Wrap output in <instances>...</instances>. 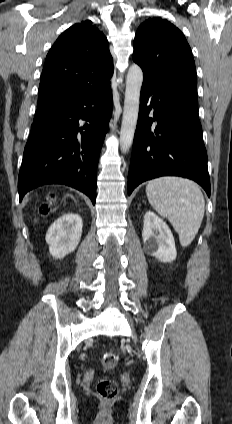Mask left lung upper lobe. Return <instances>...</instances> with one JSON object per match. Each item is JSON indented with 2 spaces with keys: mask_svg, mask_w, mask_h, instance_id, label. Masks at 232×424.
I'll list each match as a JSON object with an SVG mask.
<instances>
[{
  "mask_svg": "<svg viewBox=\"0 0 232 424\" xmlns=\"http://www.w3.org/2000/svg\"><path fill=\"white\" fill-rule=\"evenodd\" d=\"M133 60L143 70V83L156 87L197 89L190 46L182 32L158 17L142 23L135 35Z\"/></svg>",
  "mask_w": 232,
  "mask_h": 424,
  "instance_id": "obj_1",
  "label": "left lung upper lobe"
}]
</instances>
